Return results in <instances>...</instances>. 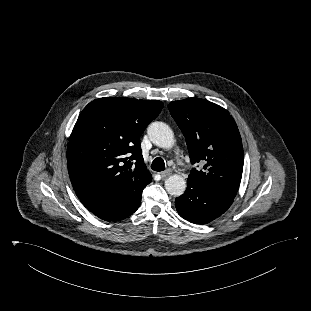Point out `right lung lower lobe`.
Here are the masks:
<instances>
[{
  "instance_id": "1",
  "label": "right lung lower lobe",
  "mask_w": 311,
  "mask_h": 311,
  "mask_svg": "<svg viewBox=\"0 0 311 311\" xmlns=\"http://www.w3.org/2000/svg\"><path fill=\"white\" fill-rule=\"evenodd\" d=\"M141 194L136 199L126 204L85 200H81V202L89 211L100 219L105 221H117L127 218L138 209L141 203Z\"/></svg>"
}]
</instances>
